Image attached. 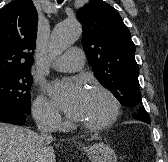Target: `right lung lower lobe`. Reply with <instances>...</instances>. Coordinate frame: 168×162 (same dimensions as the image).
<instances>
[{
    "label": "right lung lower lobe",
    "instance_id": "obj_1",
    "mask_svg": "<svg viewBox=\"0 0 168 162\" xmlns=\"http://www.w3.org/2000/svg\"><path fill=\"white\" fill-rule=\"evenodd\" d=\"M26 120V114L0 110V122L15 124V125H24Z\"/></svg>",
    "mask_w": 168,
    "mask_h": 162
}]
</instances>
